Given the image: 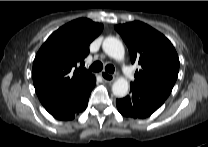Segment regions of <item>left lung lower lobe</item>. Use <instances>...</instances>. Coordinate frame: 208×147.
<instances>
[{
	"mask_svg": "<svg viewBox=\"0 0 208 147\" xmlns=\"http://www.w3.org/2000/svg\"><path fill=\"white\" fill-rule=\"evenodd\" d=\"M165 97L146 88L131 84L130 95L117 99L118 111L132 118H146L155 112L165 101Z\"/></svg>",
	"mask_w": 208,
	"mask_h": 147,
	"instance_id": "left-lung-lower-lobe-1",
	"label": "left lung lower lobe"
}]
</instances>
